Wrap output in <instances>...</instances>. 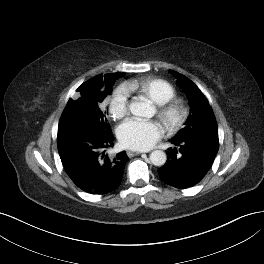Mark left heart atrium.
Listing matches in <instances>:
<instances>
[{
  "instance_id": "39dd6f15",
  "label": "left heart atrium",
  "mask_w": 264,
  "mask_h": 264,
  "mask_svg": "<svg viewBox=\"0 0 264 264\" xmlns=\"http://www.w3.org/2000/svg\"><path fill=\"white\" fill-rule=\"evenodd\" d=\"M117 133L124 146L147 150L163 136L164 129L157 121L131 118L119 126Z\"/></svg>"
}]
</instances>
